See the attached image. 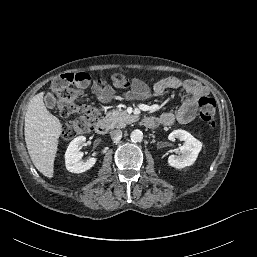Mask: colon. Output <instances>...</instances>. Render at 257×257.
<instances>
[{"instance_id":"colon-1","label":"colon","mask_w":257,"mask_h":257,"mask_svg":"<svg viewBox=\"0 0 257 257\" xmlns=\"http://www.w3.org/2000/svg\"><path fill=\"white\" fill-rule=\"evenodd\" d=\"M90 75L86 72L64 73L58 76L52 85V90L58 98V109L62 116L78 114L69 120L62 129L65 139L88 133L101 119L102 113L93 104L82 103L80 96L90 86ZM110 81L118 87L127 85L128 80L122 74H114ZM200 118L210 127L215 126L216 101L210 96H202L198 101Z\"/></svg>"}]
</instances>
